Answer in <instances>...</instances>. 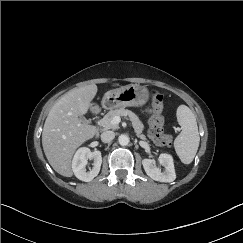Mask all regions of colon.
I'll list each match as a JSON object with an SVG mask.
<instances>
[{
  "mask_svg": "<svg viewBox=\"0 0 243 243\" xmlns=\"http://www.w3.org/2000/svg\"><path fill=\"white\" fill-rule=\"evenodd\" d=\"M153 115L149 120V135L160 146L169 147L173 143L171 135L164 133V119L162 116L164 96L157 90L150 91Z\"/></svg>",
  "mask_w": 243,
  "mask_h": 243,
  "instance_id": "obj_1",
  "label": "colon"
}]
</instances>
